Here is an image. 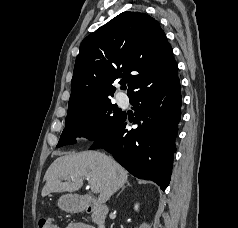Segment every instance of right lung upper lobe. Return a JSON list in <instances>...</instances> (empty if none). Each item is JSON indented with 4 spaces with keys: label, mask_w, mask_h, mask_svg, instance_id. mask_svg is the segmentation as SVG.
Here are the masks:
<instances>
[{
    "label": "right lung upper lobe",
    "mask_w": 238,
    "mask_h": 228,
    "mask_svg": "<svg viewBox=\"0 0 238 228\" xmlns=\"http://www.w3.org/2000/svg\"><path fill=\"white\" fill-rule=\"evenodd\" d=\"M173 50L159 23L147 14L123 12L81 43L68 108L110 100L112 84L129 82L128 96L177 75Z\"/></svg>",
    "instance_id": "cb5924a9"
}]
</instances>
